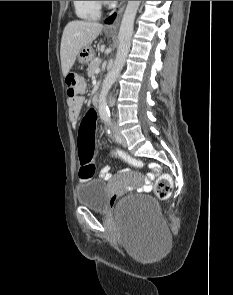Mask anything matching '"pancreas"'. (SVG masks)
I'll use <instances>...</instances> for the list:
<instances>
[{"mask_svg": "<svg viewBox=\"0 0 233 295\" xmlns=\"http://www.w3.org/2000/svg\"><path fill=\"white\" fill-rule=\"evenodd\" d=\"M99 64H100V59L99 58H93L90 62L89 65V70H88V76L91 78L95 77L96 74V69L99 68Z\"/></svg>", "mask_w": 233, "mask_h": 295, "instance_id": "cf45deb5", "label": "pancreas"}]
</instances>
